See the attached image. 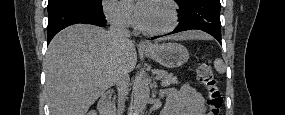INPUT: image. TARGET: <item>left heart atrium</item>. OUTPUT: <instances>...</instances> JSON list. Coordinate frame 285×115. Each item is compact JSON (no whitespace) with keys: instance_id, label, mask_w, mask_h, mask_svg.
<instances>
[{"instance_id":"left-heart-atrium-1","label":"left heart atrium","mask_w":285,"mask_h":115,"mask_svg":"<svg viewBox=\"0 0 285 115\" xmlns=\"http://www.w3.org/2000/svg\"><path fill=\"white\" fill-rule=\"evenodd\" d=\"M147 4L148 2L146 3V1L143 0L137 2L136 15L141 23L144 22L146 18Z\"/></svg>"}]
</instances>
